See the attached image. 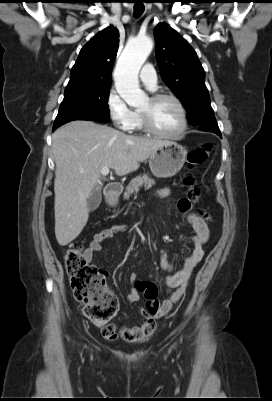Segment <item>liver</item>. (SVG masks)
Segmentation results:
<instances>
[{
	"mask_svg": "<svg viewBox=\"0 0 272 401\" xmlns=\"http://www.w3.org/2000/svg\"><path fill=\"white\" fill-rule=\"evenodd\" d=\"M167 143L169 141L126 135L86 120L71 121L59 127L52 136L58 243L69 244L85 227L89 217L87 201L98 189L103 167L115 170L119 176L129 174Z\"/></svg>",
	"mask_w": 272,
	"mask_h": 401,
	"instance_id": "1",
	"label": "liver"
}]
</instances>
